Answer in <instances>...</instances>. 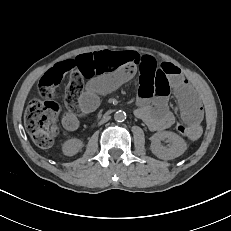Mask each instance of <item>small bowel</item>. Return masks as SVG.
<instances>
[{
	"instance_id": "1",
	"label": "small bowel",
	"mask_w": 231,
	"mask_h": 231,
	"mask_svg": "<svg viewBox=\"0 0 231 231\" xmlns=\"http://www.w3.org/2000/svg\"><path fill=\"white\" fill-rule=\"evenodd\" d=\"M137 71L140 84L136 116L153 131L171 127L175 117L168 107L167 97L173 89L183 118L191 125L193 132L190 138H199L202 132V108L188 81L178 67L168 62L158 63L150 55L134 51L86 53L56 64L42 79L55 85L64 75L69 76L62 123L65 129L73 131L79 126V114H89L96 109L99 95L125 84Z\"/></svg>"
}]
</instances>
